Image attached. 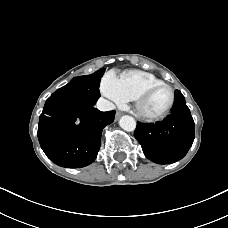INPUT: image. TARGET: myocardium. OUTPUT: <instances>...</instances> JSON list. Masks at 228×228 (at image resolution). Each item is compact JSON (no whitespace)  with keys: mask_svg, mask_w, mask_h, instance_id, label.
<instances>
[{"mask_svg":"<svg viewBox=\"0 0 228 228\" xmlns=\"http://www.w3.org/2000/svg\"><path fill=\"white\" fill-rule=\"evenodd\" d=\"M159 87H166L170 90L171 93V98H170V102L168 104V106L159 114H155V115H150V114H146L142 111L141 105L143 103V101L145 100V98L155 89L159 88ZM134 103H135V110L137 115L145 120V121H149V122H153V121H158L161 120L163 118H165L170 111L172 110L174 103H175V91L174 89L167 83L164 82H160V83H154L151 84L147 87H145L134 99Z\"/></svg>","mask_w":228,"mask_h":228,"instance_id":"obj_1","label":"myocardium"}]
</instances>
